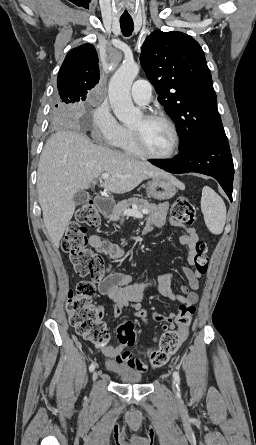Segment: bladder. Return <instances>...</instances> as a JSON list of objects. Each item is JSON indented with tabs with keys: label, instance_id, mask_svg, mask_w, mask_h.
Wrapping results in <instances>:
<instances>
[{
	"label": "bladder",
	"instance_id": "obj_1",
	"mask_svg": "<svg viewBox=\"0 0 256 445\" xmlns=\"http://www.w3.org/2000/svg\"><path fill=\"white\" fill-rule=\"evenodd\" d=\"M116 377L120 382L127 384L139 383L142 379L141 374L137 371H124L121 373H116Z\"/></svg>",
	"mask_w": 256,
	"mask_h": 445
}]
</instances>
